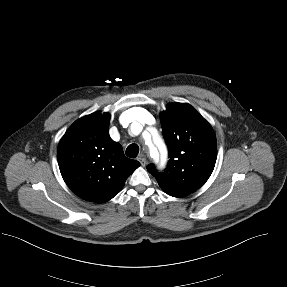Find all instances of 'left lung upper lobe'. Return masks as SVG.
<instances>
[{"label":"left lung upper lobe","mask_w":287,"mask_h":287,"mask_svg":"<svg viewBox=\"0 0 287 287\" xmlns=\"http://www.w3.org/2000/svg\"><path fill=\"white\" fill-rule=\"evenodd\" d=\"M170 160L164 172L147 170L165 193L184 197L199 189L213 172L217 144L210 124L189 104L170 103L160 114Z\"/></svg>","instance_id":"obj_1"}]
</instances>
